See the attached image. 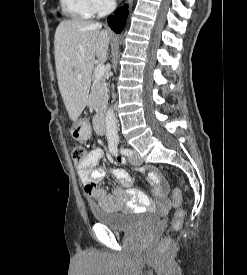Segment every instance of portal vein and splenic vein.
<instances>
[{"instance_id": "18ae733b", "label": "portal vein and splenic vein", "mask_w": 247, "mask_h": 275, "mask_svg": "<svg viewBox=\"0 0 247 275\" xmlns=\"http://www.w3.org/2000/svg\"><path fill=\"white\" fill-rule=\"evenodd\" d=\"M105 74V66L99 64L95 69V77L96 79H101Z\"/></svg>"}]
</instances>
